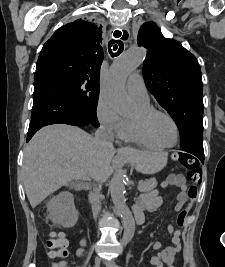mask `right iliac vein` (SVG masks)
<instances>
[{"instance_id":"1","label":"right iliac vein","mask_w":225,"mask_h":267,"mask_svg":"<svg viewBox=\"0 0 225 267\" xmlns=\"http://www.w3.org/2000/svg\"><path fill=\"white\" fill-rule=\"evenodd\" d=\"M101 263V258L100 257H96L95 261H94V267H99Z\"/></svg>"}]
</instances>
